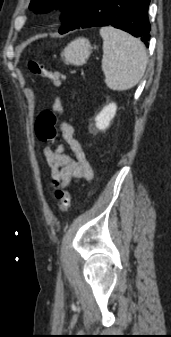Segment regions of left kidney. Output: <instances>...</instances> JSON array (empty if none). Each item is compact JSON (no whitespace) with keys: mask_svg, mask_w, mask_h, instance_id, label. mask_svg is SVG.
<instances>
[{"mask_svg":"<svg viewBox=\"0 0 171 337\" xmlns=\"http://www.w3.org/2000/svg\"><path fill=\"white\" fill-rule=\"evenodd\" d=\"M117 106L115 103H110L105 106L102 111L95 117L96 127L99 130H105L109 127L110 121L116 114Z\"/></svg>","mask_w":171,"mask_h":337,"instance_id":"1","label":"left kidney"}]
</instances>
